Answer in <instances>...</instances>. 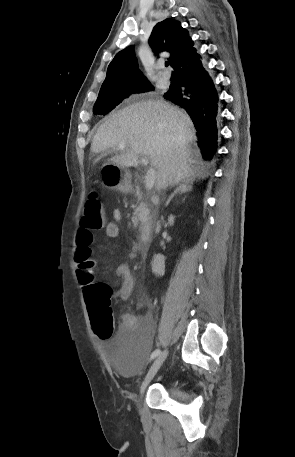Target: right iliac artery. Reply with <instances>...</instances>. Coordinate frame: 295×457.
<instances>
[{"label":"right iliac artery","instance_id":"obj_1","mask_svg":"<svg viewBox=\"0 0 295 457\" xmlns=\"http://www.w3.org/2000/svg\"><path fill=\"white\" fill-rule=\"evenodd\" d=\"M159 354H160L159 349H156L155 351H153V353L150 356V361L153 360L154 358H156Z\"/></svg>","mask_w":295,"mask_h":457}]
</instances>
